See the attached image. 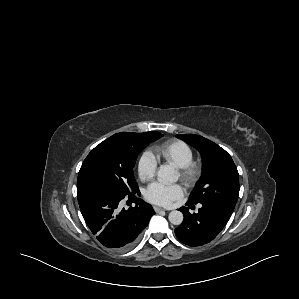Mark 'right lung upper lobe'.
<instances>
[{
  "label": "right lung upper lobe",
  "mask_w": 299,
  "mask_h": 299,
  "mask_svg": "<svg viewBox=\"0 0 299 299\" xmlns=\"http://www.w3.org/2000/svg\"><path fill=\"white\" fill-rule=\"evenodd\" d=\"M141 133H133V132H121L113 135L118 138L120 141L128 144H134L138 141Z\"/></svg>",
  "instance_id": "1"
}]
</instances>
